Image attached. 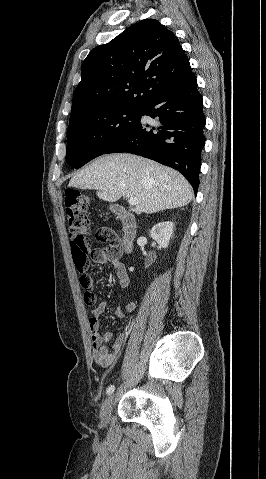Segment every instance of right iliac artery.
<instances>
[{"label":"right iliac artery","mask_w":266,"mask_h":479,"mask_svg":"<svg viewBox=\"0 0 266 479\" xmlns=\"http://www.w3.org/2000/svg\"><path fill=\"white\" fill-rule=\"evenodd\" d=\"M115 390V386L114 385H110L107 390H106V393L108 395H110L113 391Z\"/></svg>","instance_id":"1"}]
</instances>
